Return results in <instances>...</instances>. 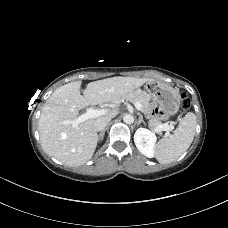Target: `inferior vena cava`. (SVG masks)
<instances>
[{
    "mask_svg": "<svg viewBox=\"0 0 228 228\" xmlns=\"http://www.w3.org/2000/svg\"><path fill=\"white\" fill-rule=\"evenodd\" d=\"M111 118L98 119L94 122V129L97 132L103 131Z\"/></svg>",
    "mask_w": 228,
    "mask_h": 228,
    "instance_id": "obj_1",
    "label": "inferior vena cava"
}]
</instances>
